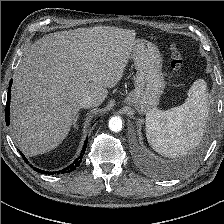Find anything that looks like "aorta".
I'll use <instances>...</instances> for the list:
<instances>
[{"instance_id":"1","label":"aorta","mask_w":224,"mask_h":224,"mask_svg":"<svg viewBox=\"0 0 224 224\" xmlns=\"http://www.w3.org/2000/svg\"><path fill=\"white\" fill-rule=\"evenodd\" d=\"M109 129L113 132H118L122 129V120L119 116L112 117L109 120Z\"/></svg>"}]
</instances>
